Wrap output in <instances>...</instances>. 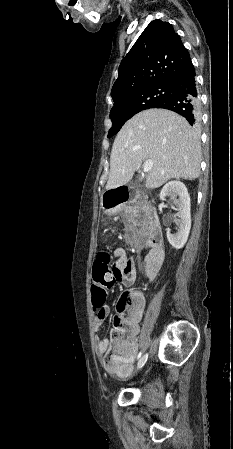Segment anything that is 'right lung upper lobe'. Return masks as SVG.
<instances>
[{"label": "right lung upper lobe", "instance_id": "obj_1", "mask_svg": "<svg viewBox=\"0 0 233 449\" xmlns=\"http://www.w3.org/2000/svg\"><path fill=\"white\" fill-rule=\"evenodd\" d=\"M194 72L189 52L173 26L154 20L122 60L111 97L114 100L152 85H170Z\"/></svg>", "mask_w": 233, "mask_h": 449}]
</instances>
